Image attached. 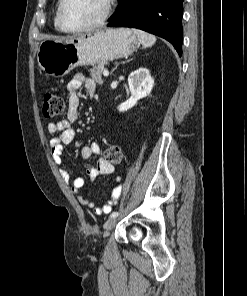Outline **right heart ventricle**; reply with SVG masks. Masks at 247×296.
<instances>
[{"label": "right heart ventricle", "instance_id": "e07e8e85", "mask_svg": "<svg viewBox=\"0 0 247 296\" xmlns=\"http://www.w3.org/2000/svg\"><path fill=\"white\" fill-rule=\"evenodd\" d=\"M53 22H54V28H55L57 31H62V30L60 29V27L58 26V22H57V10H56V12H55Z\"/></svg>", "mask_w": 247, "mask_h": 296}]
</instances>
